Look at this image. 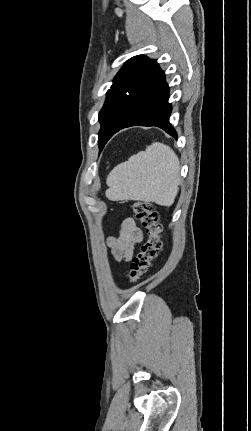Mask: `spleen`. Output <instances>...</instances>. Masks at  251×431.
<instances>
[{
    "instance_id": "3e777b00",
    "label": "spleen",
    "mask_w": 251,
    "mask_h": 431,
    "mask_svg": "<svg viewBox=\"0 0 251 431\" xmlns=\"http://www.w3.org/2000/svg\"><path fill=\"white\" fill-rule=\"evenodd\" d=\"M179 173V159L174 151L154 142L114 167L107 177L106 196L112 201H152L171 206L179 190Z\"/></svg>"
}]
</instances>
